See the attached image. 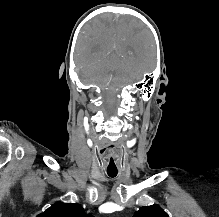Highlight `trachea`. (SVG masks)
Masks as SVG:
<instances>
[{"instance_id": "3493384b", "label": "trachea", "mask_w": 219, "mask_h": 217, "mask_svg": "<svg viewBox=\"0 0 219 217\" xmlns=\"http://www.w3.org/2000/svg\"><path fill=\"white\" fill-rule=\"evenodd\" d=\"M108 175L113 178V177H116L117 173H110V172H108Z\"/></svg>"}]
</instances>
